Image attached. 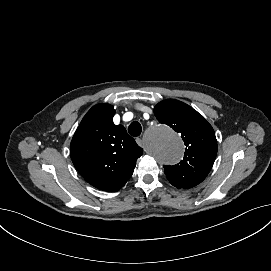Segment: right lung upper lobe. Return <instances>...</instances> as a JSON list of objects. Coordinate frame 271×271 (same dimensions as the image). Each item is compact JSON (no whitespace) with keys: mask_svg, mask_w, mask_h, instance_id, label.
<instances>
[{"mask_svg":"<svg viewBox=\"0 0 271 271\" xmlns=\"http://www.w3.org/2000/svg\"><path fill=\"white\" fill-rule=\"evenodd\" d=\"M114 114L109 104L92 107L70 144L72 162L81 176L92 186L109 192L125 185L143 153L126 129L113 123Z\"/></svg>","mask_w":271,"mask_h":271,"instance_id":"cb5924a9","label":"right lung upper lobe"}]
</instances>
